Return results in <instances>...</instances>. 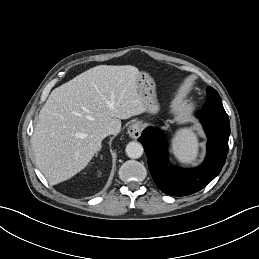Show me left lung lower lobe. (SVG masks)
Instances as JSON below:
<instances>
[{
	"mask_svg": "<svg viewBox=\"0 0 259 259\" xmlns=\"http://www.w3.org/2000/svg\"><path fill=\"white\" fill-rule=\"evenodd\" d=\"M207 102L197 114L208 137L205 161L197 168H169L167 143L163 133L146 128L138 139L142 143L154 182L166 194L186 196L203 189L221 171L228 153L230 123L218 92L207 89Z\"/></svg>",
	"mask_w": 259,
	"mask_h": 259,
	"instance_id": "obj_1",
	"label": "left lung lower lobe"
}]
</instances>
